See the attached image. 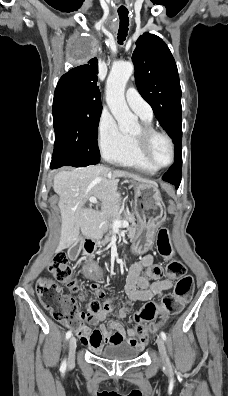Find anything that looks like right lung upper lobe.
Here are the masks:
<instances>
[{
	"label": "right lung upper lobe",
	"instance_id": "cb5924a9",
	"mask_svg": "<svg viewBox=\"0 0 228 396\" xmlns=\"http://www.w3.org/2000/svg\"><path fill=\"white\" fill-rule=\"evenodd\" d=\"M98 60L90 59L86 64L75 67L64 74L58 81L56 89L74 92L83 100L101 102L97 86Z\"/></svg>",
	"mask_w": 228,
	"mask_h": 396
}]
</instances>
